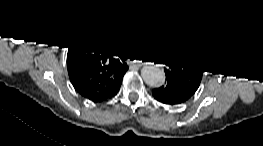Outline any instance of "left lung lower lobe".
<instances>
[{"mask_svg": "<svg viewBox=\"0 0 263 146\" xmlns=\"http://www.w3.org/2000/svg\"><path fill=\"white\" fill-rule=\"evenodd\" d=\"M152 94L158 101L169 105L183 103L192 96L171 80H167L165 85L153 89Z\"/></svg>", "mask_w": 263, "mask_h": 146, "instance_id": "0a47b994", "label": "left lung lower lobe"}]
</instances>
